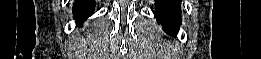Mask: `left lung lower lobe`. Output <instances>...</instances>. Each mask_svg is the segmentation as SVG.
<instances>
[{
	"label": "left lung lower lobe",
	"mask_w": 261,
	"mask_h": 59,
	"mask_svg": "<svg viewBox=\"0 0 261 59\" xmlns=\"http://www.w3.org/2000/svg\"><path fill=\"white\" fill-rule=\"evenodd\" d=\"M180 4L181 0H155V17L163 30L172 36H175L181 23Z\"/></svg>",
	"instance_id": "left-lung-lower-lobe-1"
}]
</instances>
